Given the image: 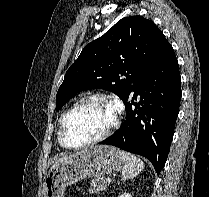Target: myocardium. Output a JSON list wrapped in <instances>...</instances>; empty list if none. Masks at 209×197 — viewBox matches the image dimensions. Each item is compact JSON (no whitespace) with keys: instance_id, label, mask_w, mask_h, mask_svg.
<instances>
[{"instance_id":"f54148a6","label":"myocardium","mask_w":209,"mask_h":197,"mask_svg":"<svg viewBox=\"0 0 209 197\" xmlns=\"http://www.w3.org/2000/svg\"><path fill=\"white\" fill-rule=\"evenodd\" d=\"M93 102L105 103L109 105L110 107H112L114 111L113 121L108 126V128L99 136L93 139L87 140L85 142H82L80 144H70L66 140V136H65V127H66L67 120L76 110H78L79 108H81L82 106L86 104L93 103ZM121 110H122L121 106L117 102L103 95H98V94L91 95V96H87L81 99L80 101L75 103L71 108H69L63 114L61 118L60 126H59V140H60L61 145L69 149H79V148H84V147H87V146H90V145H93V144H96L98 142L105 140L118 127L120 123Z\"/></svg>"}]
</instances>
